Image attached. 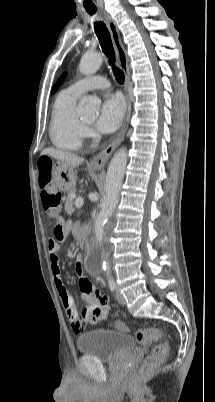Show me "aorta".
<instances>
[{
    "instance_id": "762f6f07",
    "label": "aorta",
    "mask_w": 215,
    "mask_h": 402,
    "mask_svg": "<svg viewBox=\"0 0 215 402\" xmlns=\"http://www.w3.org/2000/svg\"><path fill=\"white\" fill-rule=\"evenodd\" d=\"M102 60L100 53H85L80 60L79 70L84 75H92L96 73L102 65ZM100 104L101 101L99 98L86 95L81 99L77 112L81 117L89 119L95 118L98 115ZM127 159V150L123 147L114 154L109 163L105 184L106 198L102 204L95 226L97 247L93 257L89 258L86 262L87 267L90 269H96L98 266L102 265L107 276L111 274L110 254L108 247L103 242V227L118 204Z\"/></svg>"
}]
</instances>
